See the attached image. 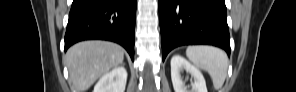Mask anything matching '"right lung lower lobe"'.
Returning a JSON list of instances; mask_svg holds the SVG:
<instances>
[{"mask_svg":"<svg viewBox=\"0 0 296 92\" xmlns=\"http://www.w3.org/2000/svg\"><path fill=\"white\" fill-rule=\"evenodd\" d=\"M136 0H73L65 34V50L88 39L122 45L134 60Z\"/></svg>","mask_w":296,"mask_h":92,"instance_id":"obj_1","label":"right lung lower lobe"}]
</instances>
